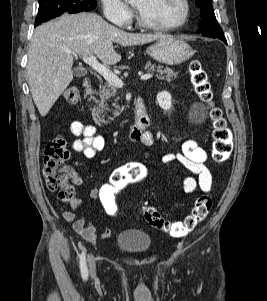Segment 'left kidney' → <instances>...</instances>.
Returning a JSON list of instances; mask_svg holds the SVG:
<instances>
[{
	"label": "left kidney",
	"mask_w": 267,
	"mask_h": 301,
	"mask_svg": "<svg viewBox=\"0 0 267 301\" xmlns=\"http://www.w3.org/2000/svg\"><path fill=\"white\" fill-rule=\"evenodd\" d=\"M157 103L163 110H165V111L169 110L172 106L171 94L166 91L158 93L157 94Z\"/></svg>",
	"instance_id": "left-kidney-1"
}]
</instances>
